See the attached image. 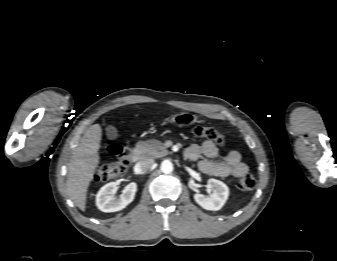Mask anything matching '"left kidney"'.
<instances>
[{
  "instance_id": "5707ae66",
  "label": "left kidney",
  "mask_w": 337,
  "mask_h": 261,
  "mask_svg": "<svg viewBox=\"0 0 337 261\" xmlns=\"http://www.w3.org/2000/svg\"><path fill=\"white\" fill-rule=\"evenodd\" d=\"M208 187L213 190L210 198H206L203 194H194V200L202 208L211 211L220 210L229 196V188L223 182L216 179L208 180Z\"/></svg>"
}]
</instances>
